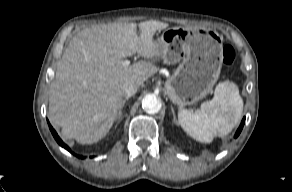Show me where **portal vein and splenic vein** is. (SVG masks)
<instances>
[{
	"instance_id": "18ae733b",
	"label": "portal vein and splenic vein",
	"mask_w": 292,
	"mask_h": 192,
	"mask_svg": "<svg viewBox=\"0 0 292 192\" xmlns=\"http://www.w3.org/2000/svg\"><path fill=\"white\" fill-rule=\"evenodd\" d=\"M123 66L127 67L130 65V61L129 60H125L122 62Z\"/></svg>"
}]
</instances>
